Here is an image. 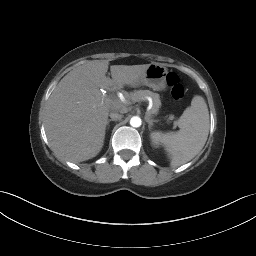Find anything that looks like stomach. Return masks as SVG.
Segmentation results:
<instances>
[{"instance_id": "obj_1", "label": "stomach", "mask_w": 256, "mask_h": 256, "mask_svg": "<svg viewBox=\"0 0 256 256\" xmlns=\"http://www.w3.org/2000/svg\"><path fill=\"white\" fill-rule=\"evenodd\" d=\"M166 75L167 68L160 63H151L146 70L145 74L136 82L132 83L133 86L146 85L154 91H162L166 89Z\"/></svg>"}]
</instances>
